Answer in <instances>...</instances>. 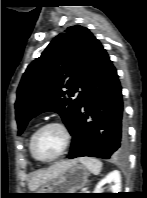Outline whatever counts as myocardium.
<instances>
[{"instance_id":"myocardium-1","label":"myocardium","mask_w":147,"mask_h":198,"mask_svg":"<svg viewBox=\"0 0 147 198\" xmlns=\"http://www.w3.org/2000/svg\"><path fill=\"white\" fill-rule=\"evenodd\" d=\"M49 127H57L59 128L62 133H63V136H64V144H63V147L62 149L60 150L59 153H57L56 155H54L53 157H50V158H41L35 151V147H34V144H35V140H36V137L38 136V134L43 131L44 129L46 128H49ZM71 138H72V135H71V132L68 128V126L66 124H64L63 122H60V121H50V122H47L45 124H43L42 126H40L31 136L30 138V143H29V148H30V152L33 156V158H35L36 160L40 161V162H52L58 158H60L68 149L70 143H71Z\"/></svg>"}]
</instances>
